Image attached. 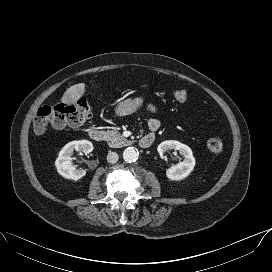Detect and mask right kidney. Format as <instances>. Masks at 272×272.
<instances>
[{"label":"right kidney","mask_w":272,"mask_h":272,"mask_svg":"<svg viewBox=\"0 0 272 272\" xmlns=\"http://www.w3.org/2000/svg\"><path fill=\"white\" fill-rule=\"evenodd\" d=\"M76 151L90 153L93 151V144L88 140L72 141L66 144L60 151L58 158L55 161L57 172L66 179L79 180L85 176L86 171L72 164L71 156Z\"/></svg>","instance_id":"1"}]
</instances>
